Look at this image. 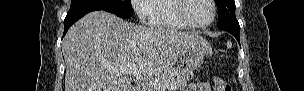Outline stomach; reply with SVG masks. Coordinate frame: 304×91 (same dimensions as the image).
I'll use <instances>...</instances> for the list:
<instances>
[{
  "mask_svg": "<svg viewBox=\"0 0 304 91\" xmlns=\"http://www.w3.org/2000/svg\"><path fill=\"white\" fill-rule=\"evenodd\" d=\"M211 52V47L206 41H197L184 48L179 58L188 66L197 68L203 63L205 56Z\"/></svg>",
  "mask_w": 304,
  "mask_h": 91,
  "instance_id": "obj_1",
  "label": "stomach"
}]
</instances>
